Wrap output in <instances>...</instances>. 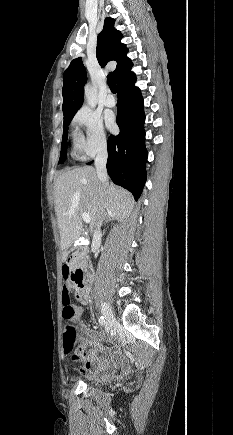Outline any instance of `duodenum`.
Returning <instances> with one entry per match:
<instances>
[{"label":"duodenum","instance_id":"410a0bca","mask_svg":"<svg viewBox=\"0 0 233 435\" xmlns=\"http://www.w3.org/2000/svg\"><path fill=\"white\" fill-rule=\"evenodd\" d=\"M86 252L87 246L83 245L71 252L67 258L68 266L78 278V282L74 284L76 298L83 304L88 303L84 281V278L89 275V265L84 259Z\"/></svg>","mask_w":233,"mask_h":435}]
</instances>
